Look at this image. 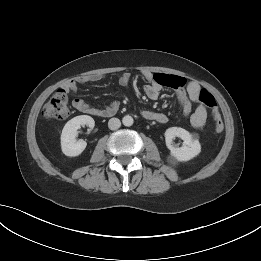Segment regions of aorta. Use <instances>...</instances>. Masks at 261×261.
Here are the masks:
<instances>
[{"label": "aorta", "instance_id": "aorta-1", "mask_svg": "<svg viewBox=\"0 0 261 261\" xmlns=\"http://www.w3.org/2000/svg\"><path fill=\"white\" fill-rule=\"evenodd\" d=\"M133 122H134V120L130 115H126L122 118V123L124 126H127V127L132 126Z\"/></svg>", "mask_w": 261, "mask_h": 261}]
</instances>
